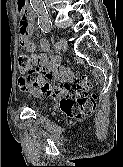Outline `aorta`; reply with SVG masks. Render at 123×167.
I'll use <instances>...</instances> for the list:
<instances>
[{"label":"aorta","instance_id":"1","mask_svg":"<svg viewBox=\"0 0 123 167\" xmlns=\"http://www.w3.org/2000/svg\"><path fill=\"white\" fill-rule=\"evenodd\" d=\"M31 6L38 17V25L42 31H50L51 21L43 0H30Z\"/></svg>","mask_w":123,"mask_h":167}]
</instances>
